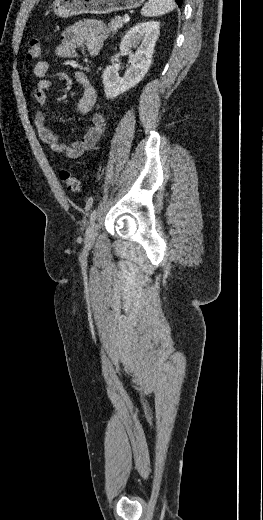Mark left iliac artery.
Returning <instances> with one entry per match:
<instances>
[{
  "mask_svg": "<svg viewBox=\"0 0 263 520\" xmlns=\"http://www.w3.org/2000/svg\"><path fill=\"white\" fill-rule=\"evenodd\" d=\"M95 219H96V210H93L90 215V222L93 223V221H95Z\"/></svg>",
  "mask_w": 263,
  "mask_h": 520,
  "instance_id": "1",
  "label": "left iliac artery"
}]
</instances>
